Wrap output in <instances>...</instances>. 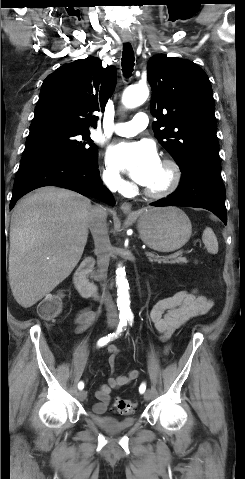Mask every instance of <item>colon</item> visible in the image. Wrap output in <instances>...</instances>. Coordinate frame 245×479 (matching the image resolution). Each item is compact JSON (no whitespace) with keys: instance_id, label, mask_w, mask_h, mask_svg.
I'll use <instances>...</instances> for the list:
<instances>
[{"instance_id":"5ec220e1","label":"colon","mask_w":245,"mask_h":479,"mask_svg":"<svg viewBox=\"0 0 245 479\" xmlns=\"http://www.w3.org/2000/svg\"><path fill=\"white\" fill-rule=\"evenodd\" d=\"M64 295L61 292H55L47 295L38 306L40 317L46 321H54L63 309ZM114 409L120 414H131L136 410V403L122 398L114 400Z\"/></svg>"}]
</instances>
